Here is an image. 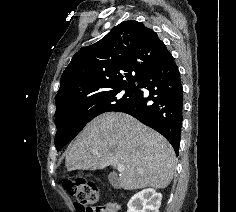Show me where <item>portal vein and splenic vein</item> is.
Listing matches in <instances>:
<instances>
[{
  "label": "portal vein and splenic vein",
  "mask_w": 236,
  "mask_h": 212,
  "mask_svg": "<svg viewBox=\"0 0 236 212\" xmlns=\"http://www.w3.org/2000/svg\"><path fill=\"white\" fill-rule=\"evenodd\" d=\"M91 152H92V154H94V155H98V151H97V150H92ZM117 170H118L119 172H123V171L125 170V166H124V165H118V166H117Z\"/></svg>",
  "instance_id": "18ae733b"
}]
</instances>
